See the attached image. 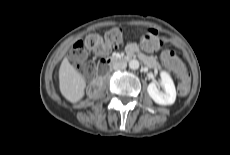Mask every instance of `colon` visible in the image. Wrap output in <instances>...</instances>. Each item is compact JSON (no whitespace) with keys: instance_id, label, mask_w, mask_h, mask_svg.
Masks as SVG:
<instances>
[{"instance_id":"1","label":"colon","mask_w":230,"mask_h":155,"mask_svg":"<svg viewBox=\"0 0 230 155\" xmlns=\"http://www.w3.org/2000/svg\"><path fill=\"white\" fill-rule=\"evenodd\" d=\"M148 39H156L160 45L163 44V40L158 32L151 31L146 35ZM105 42L110 46L117 48L123 43V33L119 28L110 29L105 34ZM103 41L97 34H91L85 39L75 43L70 51V56L76 61L79 71L85 75L92 76L95 68L94 64L86 60L88 50H100L102 48ZM189 78L184 70L181 68L178 80V92L180 95H185L189 90Z\"/></svg>"}]
</instances>
